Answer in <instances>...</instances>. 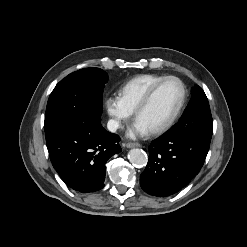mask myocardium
Here are the masks:
<instances>
[{
    "mask_svg": "<svg viewBox=\"0 0 247 247\" xmlns=\"http://www.w3.org/2000/svg\"><path fill=\"white\" fill-rule=\"evenodd\" d=\"M168 81H176L180 84L181 89H182V97H181L180 103H179L176 111L169 118V120L167 122H165L162 126L156 128L150 132V134L153 136L161 135V134L167 132L175 124L177 119L180 117V115H181V113L185 107V104L187 101V96H188V90H187L185 83L180 78H178L176 76H166L165 78H163L162 80H160L159 82L154 84L149 89V91L146 93V95L144 96V98L141 100V102L138 104V106L136 107V109L134 111V118L137 119L139 114L149 106V104L151 103L152 99L154 98V96L157 93V91L159 90V88Z\"/></svg>",
    "mask_w": 247,
    "mask_h": 247,
    "instance_id": "myocardium-1",
    "label": "myocardium"
}]
</instances>
